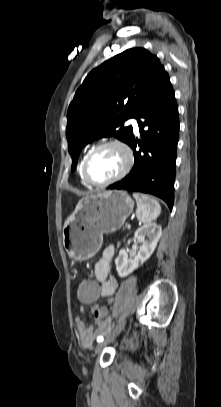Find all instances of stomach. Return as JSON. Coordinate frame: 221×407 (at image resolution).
Masks as SVG:
<instances>
[{"instance_id":"0dacf381","label":"stomach","mask_w":221,"mask_h":407,"mask_svg":"<svg viewBox=\"0 0 221 407\" xmlns=\"http://www.w3.org/2000/svg\"><path fill=\"white\" fill-rule=\"evenodd\" d=\"M134 202L122 190L105 191L79 200L64 223L62 240L69 257L83 261L101 248L103 234L119 230L132 213Z\"/></svg>"}]
</instances>
